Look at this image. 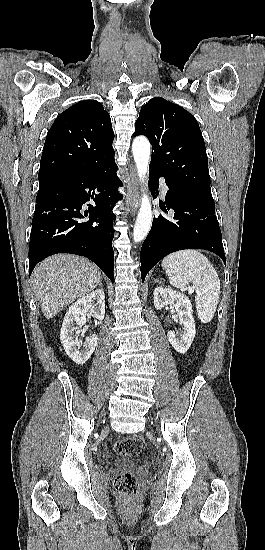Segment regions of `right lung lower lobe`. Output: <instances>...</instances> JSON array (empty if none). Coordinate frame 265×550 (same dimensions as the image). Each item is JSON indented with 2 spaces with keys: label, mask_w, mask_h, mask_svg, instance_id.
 <instances>
[{
  "label": "right lung lower lobe",
  "mask_w": 265,
  "mask_h": 550,
  "mask_svg": "<svg viewBox=\"0 0 265 550\" xmlns=\"http://www.w3.org/2000/svg\"><path fill=\"white\" fill-rule=\"evenodd\" d=\"M111 162L86 174L65 178L37 195L29 247V276L36 264L57 253L82 255L114 282L112 212L122 199V182ZM93 199L96 206L83 204Z\"/></svg>",
  "instance_id": "98d812e1"
}]
</instances>
